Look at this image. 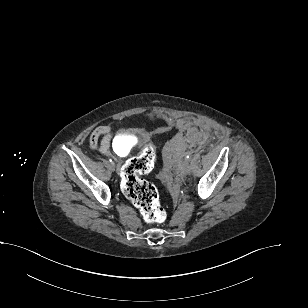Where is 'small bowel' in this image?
<instances>
[{"label": "small bowel", "instance_id": "c3829d8e", "mask_svg": "<svg viewBox=\"0 0 308 308\" xmlns=\"http://www.w3.org/2000/svg\"><path fill=\"white\" fill-rule=\"evenodd\" d=\"M196 124L195 120L184 118L177 122L180 129L191 128ZM112 139V129L110 126H99L91 134L89 146L92 150L99 149L104 155H110V141Z\"/></svg>", "mask_w": 308, "mask_h": 308}]
</instances>
